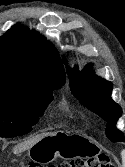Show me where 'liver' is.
Listing matches in <instances>:
<instances>
[{
  "mask_svg": "<svg viewBox=\"0 0 125 167\" xmlns=\"http://www.w3.org/2000/svg\"><path fill=\"white\" fill-rule=\"evenodd\" d=\"M53 134H54L53 132H46V133H41V134H38L34 137H31V138L19 143L18 145H16L13 148V153L14 154H19V153H21L25 150H29L38 141H40L41 139H43L47 136L53 135Z\"/></svg>",
  "mask_w": 125,
  "mask_h": 167,
  "instance_id": "obj_1",
  "label": "liver"
}]
</instances>
